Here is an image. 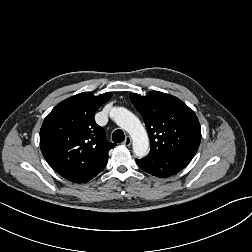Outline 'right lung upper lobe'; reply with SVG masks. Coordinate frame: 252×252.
Here are the masks:
<instances>
[{"instance_id": "cb5924a9", "label": "right lung upper lobe", "mask_w": 252, "mask_h": 252, "mask_svg": "<svg viewBox=\"0 0 252 252\" xmlns=\"http://www.w3.org/2000/svg\"><path fill=\"white\" fill-rule=\"evenodd\" d=\"M110 92L94 96L79 93L57 104L40 130V148L48 164L64 178L106 165L116 144L106 140L96 124L97 109L111 98Z\"/></svg>"}]
</instances>
